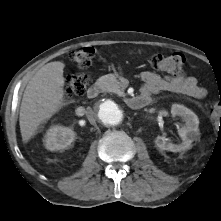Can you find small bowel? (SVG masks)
Instances as JSON below:
<instances>
[{
    "instance_id": "c3829d8e",
    "label": "small bowel",
    "mask_w": 221,
    "mask_h": 221,
    "mask_svg": "<svg viewBox=\"0 0 221 221\" xmlns=\"http://www.w3.org/2000/svg\"><path fill=\"white\" fill-rule=\"evenodd\" d=\"M141 80L144 83L142 94L151 95L168 91L196 99H203L207 95V90L198 84L196 78L187 74L161 77L153 72L144 71L141 73Z\"/></svg>"
}]
</instances>
